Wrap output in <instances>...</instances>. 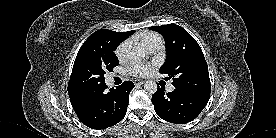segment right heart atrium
<instances>
[{
	"mask_svg": "<svg viewBox=\"0 0 276 138\" xmlns=\"http://www.w3.org/2000/svg\"><path fill=\"white\" fill-rule=\"evenodd\" d=\"M127 49H128L127 42H122L121 44L118 45V47L115 50V54L119 60L125 59L127 54Z\"/></svg>",
	"mask_w": 276,
	"mask_h": 138,
	"instance_id": "d8ad5b80",
	"label": "right heart atrium"
}]
</instances>
